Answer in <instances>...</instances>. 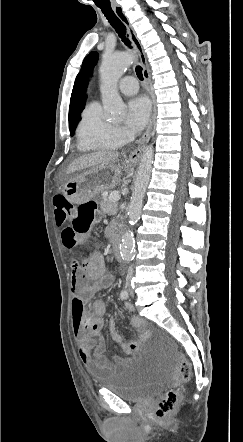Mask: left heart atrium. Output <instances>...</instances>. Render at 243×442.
Here are the masks:
<instances>
[{
  "instance_id": "1",
  "label": "left heart atrium",
  "mask_w": 243,
  "mask_h": 442,
  "mask_svg": "<svg viewBox=\"0 0 243 442\" xmlns=\"http://www.w3.org/2000/svg\"><path fill=\"white\" fill-rule=\"evenodd\" d=\"M150 114V103L147 98L139 96L131 99L127 105L126 124L132 131L141 130L147 123Z\"/></svg>"
}]
</instances>
